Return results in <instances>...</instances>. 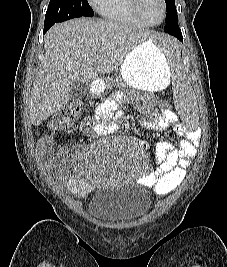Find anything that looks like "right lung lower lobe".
I'll return each mask as SVG.
<instances>
[{
	"mask_svg": "<svg viewBox=\"0 0 227 267\" xmlns=\"http://www.w3.org/2000/svg\"><path fill=\"white\" fill-rule=\"evenodd\" d=\"M52 25H54V23L44 24V33L47 32Z\"/></svg>",
	"mask_w": 227,
	"mask_h": 267,
	"instance_id": "obj_1",
	"label": "right lung lower lobe"
}]
</instances>
